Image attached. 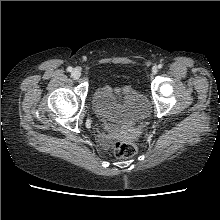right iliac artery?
Instances as JSON below:
<instances>
[{
  "mask_svg": "<svg viewBox=\"0 0 220 220\" xmlns=\"http://www.w3.org/2000/svg\"><path fill=\"white\" fill-rule=\"evenodd\" d=\"M67 70H68L69 72H71V71H72V67H68Z\"/></svg>",
  "mask_w": 220,
  "mask_h": 220,
  "instance_id": "82829eb1",
  "label": "right iliac artery"
}]
</instances>
